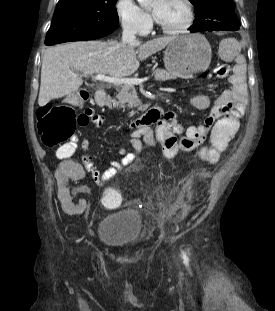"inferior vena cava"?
Listing matches in <instances>:
<instances>
[{
	"instance_id": "inferior-vena-cava-1",
	"label": "inferior vena cava",
	"mask_w": 275,
	"mask_h": 311,
	"mask_svg": "<svg viewBox=\"0 0 275 311\" xmlns=\"http://www.w3.org/2000/svg\"><path fill=\"white\" fill-rule=\"evenodd\" d=\"M136 32L131 29H124L122 33V44H132L136 42Z\"/></svg>"
}]
</instances>
